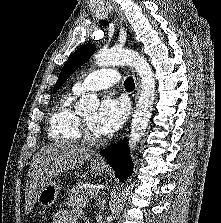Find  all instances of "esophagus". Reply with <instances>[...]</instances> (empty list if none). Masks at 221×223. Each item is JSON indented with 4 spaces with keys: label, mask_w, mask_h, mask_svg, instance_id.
Wrapping results in <instances>:
<instances>
[{
    "label": "esophagus",
    "mask_w": 221,
    "mask_h": 223,
    "mask_svg": "<svg viewBox=\"0 0 221 223\" xmlns=\"http://www.w3.org/2000/svg\"><path fill=\"white\" fill-rule=\"evenodd\" d=\"M116 11L118 12L117 7H116ZM120 16H121V22H123L124 25L127 27V24H126V22H125V20H124V18L122 16V14H120ZM133 77H134V81H135V93L133 95L134 105H135V103H136V101H137V99L139 97V94H140L141 84H140V80L138 78V75L136 73H134ZM100 162L101 163H105L104 160H100Z\"/></svg>",
    "instance_id": "obj_1"
}]
</instances>
